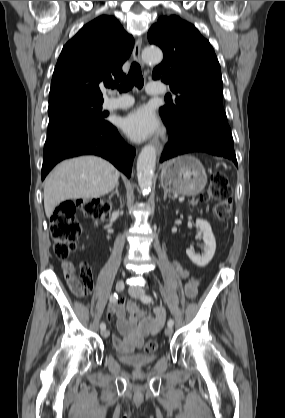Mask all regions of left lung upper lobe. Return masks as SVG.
Returning a JSON list of instances; mask_svg holds the SVG:
<instances>
[{"mask_svg":"<svg viewBox=\"0 0 285 418\" xmlns=\"http://www.w3.org/2000/svg\"><path fill=\"white\" fill-rule=\"evenodd\" d=\"M148 40L164 53L152 78L168 83L176 94L173 104L159 109L168 132H180L200 118L227 123L220 65L211 44L197 28L178 16H165L149 29Z\"/></svg>","mask_w":285,"mask_h":418,"instance_id":"1","label":"left lung upper lobe"}]
</instances>
